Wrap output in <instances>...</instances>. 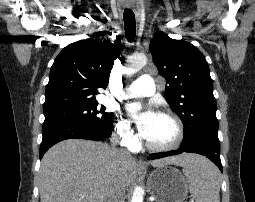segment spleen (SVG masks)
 Here are the masks:
<instances>
[{"instance_id": "3e777b00", "label": "spleen", "mask_w": 255, "mask_h": 202, "mask_svg": "<svg viewBox=\"0 0 255 202\" xmlns=\"http://www.w3.org/2000/svg\"><path fill=\"white\" fill-rule=\"evenodd\" d=\"M183 173L196 202H220L221 174L208 159L195 155Z\"/></svg>"}]
</instances>
